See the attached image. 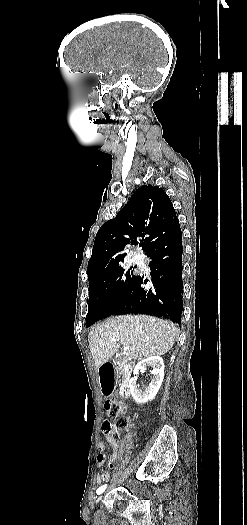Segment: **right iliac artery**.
<instances>
[{
  "label": "right iliac artery",
  "instance_id": "82829eb1",
  "mask_svg": "<svg viewBox=\"0 0 247 525\" xmlns=\"http://www.w3.org/2000/svg\"><path fill=\"white\" fill-rule=\"evenodd\" d=\"M107 485H102L100 486L98 489H97V494H101L105 489H106Z\"/></svg>",
  "mask_w": 247,
  "mask_h": 525
}]
</instances>
